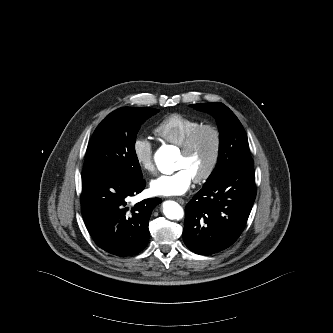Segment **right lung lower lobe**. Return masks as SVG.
<instances>
[{
  "mask_svg": "<svg viewBox=\"0 0 333 333\" xmlns=\"http://www.w3.org/2000/svg\"><path fill=\"white\" fill-rule=\"evenodd\" d=\"M144 179L121 174L83 173L82 216L95 243L103 250L129 256L144 249L149 238V218L160 198L134 206L130 197L142 192Z\"/></svg>",
  "mask_w": 333,
  "mask_h": 333,
  "instance_id": "98d812e1",
  "label": "right lung lower lobe"
}]
</instances>
